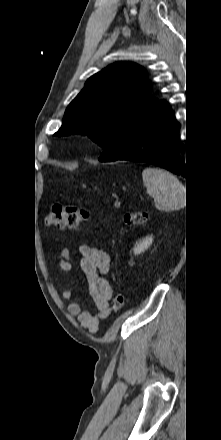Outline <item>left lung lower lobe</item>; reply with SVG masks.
Wrapping results in <instances>:
<instances>
[{
  "label": "left lung lower lobe",
  "mask_w": 221,
  "mask_h": 440,
  "mask_svg": "<svg viewBox=\"0 0 221 440\" xmlns=\"http://www.w3.org/2000/svg\"><path fill=\"white\" fill-rule=\"evenodd\" d=\"M180 130L167 102L157 101L135 125L125 153L117 160L147 162L188 179L187 163L180 156Z\"/></svg>",
  "instance_id": "0a47b994"
}]
</instances>
